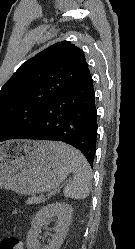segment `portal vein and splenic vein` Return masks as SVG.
I'll list each match as a JSON object with an SVG mask.
<instances>
[{
    "instance_id": "obj_1",
    "label": "portal vein and splenic vein",
    "mask_w": 135,
    "mask_h": 249,
    "mask_svg": "<svg viewBox=\"0 0 135 249\" xmlns=\"http://www.w3.org/2000/svg\"><path fill=\"white\" fill-rule=\"evenodd\" d=\"M51 194H52V192H51V193H49V194H48V196H50Z\"/></svg>"
}]
</instances>
